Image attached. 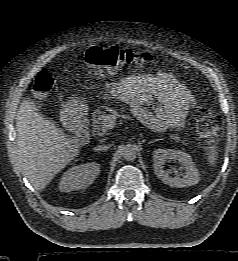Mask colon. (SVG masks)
Returning <instances> with one entry per match:
<instances>
[{
  "mask_svg": "<svg viewBox=\"0 0 238 261\" xmlns=\"http://www.w3.org/2000/svg\"><path fill=\"white\" fill-rule=\"evenodd\" d=\"M84 59L98 74L108 75L131 66L149 63L153 57L149 53H138L116 46H94L85 53ZM53 84L52 72L41 71L33 83L35 97H46L52 91ZM196 126L202 141L206 145H214L221 134L222 121L213 108L201 105L196 111Z\"/></svg>",
  "mask_w": 238,
  "mask_h": 261,
  "instance_id": "obj_1",
  "label": "colon"
}]
</instances>
